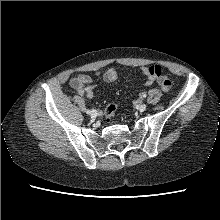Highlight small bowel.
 Returning a JSON list of instances; mask_svg holds the SVG:
<instances>
[{
    "label": "small bowel",
    "mask_w": 220,
    "mask_h": 220,
    "mask_svg": "<svg viewBox=\"0 0 220 220\" xmlns=\"http://www.w3.org/2000/svg\"><path fill=\"white\" fill-rule=\"evenodd\" d=\"M149 69V66L141 68V72L145 77V84L148 86L152 85L156 81L155 76L150 73ZM101 77L106 82H113L117 79V72L116 70L110 68L101 74ZM69 84L79 95H84L89 99L94 98V85L89 75L79 74L77 76H73L70 79Z\"/></svg>",
    "instance_id": "c3829d8e"
}]
</instances>
